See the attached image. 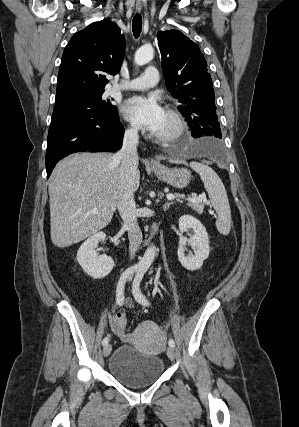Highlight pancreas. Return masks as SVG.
Here are the masks:
<instances>
[{
    "mask_svg": "<svg viewBox=\"0 0 299 427\" xmlns=\"http://www.w3.org/2000/svg\"><path fill=\"white\" fill-rule=\"evenodd\" d=\"M175 196H176L178 202L183 203L182 199L185 198V196L183 194L176 193ZM187 205L190 208H192L195 212H197L198 214H202L203 213L204 203L202 201H200V202H192V201L188 200Z\"/></svg>",
    "mask_w": 299,
    "mask_h": 427,
    "instance_id": "obj_1",
    "label": "pancreas"
}]
</instances>
